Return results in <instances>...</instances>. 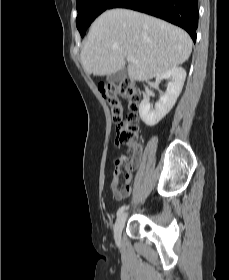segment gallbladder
Listing matches in <instances>:
<instances>
[{
    "instance_id": "bac80fb5",
    "label": "gallbladder",
    "mask_w": 229,
    "mask_h": 280,
    "mask_svg": "<svg viewBox=\"0 0 229 280\" xmlns=\"http://www.w3.org/2000/svg\"><path fill=\"white\" fill-rule=\"evenodd\" d=\"M127 76V69L124 67L116 73L110 74L107 76V81L110 83L121 82Z\"/></svg>"
}]
</instances>
